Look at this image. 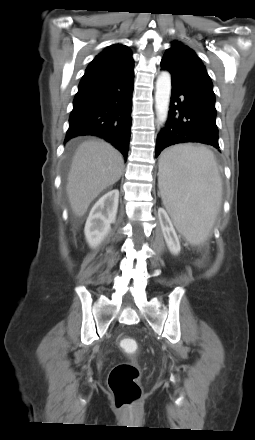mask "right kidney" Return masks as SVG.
<instances>
[{"mask_svg": "<svg viewBox=\"0 0 255 440\" xmlns=\"http://www.w3.org/2000/svg\"><path fill=\"white\" fill-rule=\"evenodd\" d=\"M119 191L104 194L92 207L87 218L84 234L91 248L97 247L111 230L118 209Z\"/></svg>", "mask_w": 255, "mask_h": 440, "instance_id": "right-kidney-1", "label": "right kidney"}]
</instances>
